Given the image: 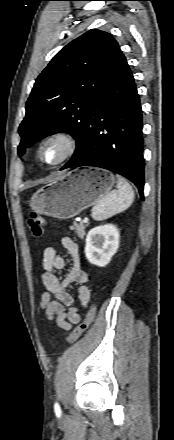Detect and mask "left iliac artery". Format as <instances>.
<instances>
[{
  "instance_id": "1",
  "label": "left iliac artery",
  "mask_w": 174,
  "mask_h": 440,
  "mask_svg": "<svg viewBox=\"0 0 174 440\" xmlns=\"http://www.w3.org/2000/svg\"><path fill=\"white\" fill-rule=\"evenodd\" d=\"M54 409L56 412H60V407H59L58 403H55Z\"/></svg>"
}]
</instances>
